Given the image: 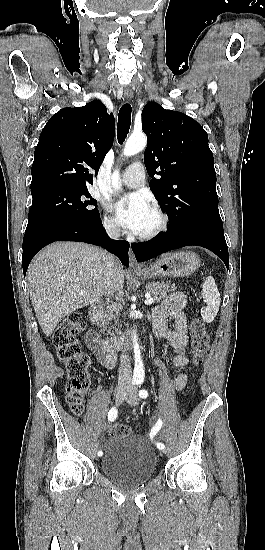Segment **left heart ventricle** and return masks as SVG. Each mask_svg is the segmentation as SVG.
<instances>
[{
	"label": "left heart ventricle",
	"mask_w": 265,
	"mask_h": 550,
	"mask_svg": "<svg viewBox=\"0 0 265 550\" xmlns=\"http://www.w3.org/2000/svg\"><path fill=\"white\" fill-rule=\"evenodd\" d=\"M157 222H158L157 217L151 211L150 214L148 215L147 219L145 220L140 233H144V232L152 230L157 225Z\"/></svg>",
	"instance_id": "obj_1"
}]
</instances>
